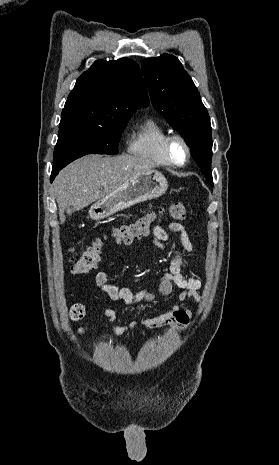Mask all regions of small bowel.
I'll use <instances>...</instances> for the list:
<instances>
[{"label": "small bowel", "mask_w": 279, "mask_h": 465, "mask_svg": "<svg viewBox=\"0 0 279 465\" xmlns=\"http://www.w3.org/2000/svg\"><path fill=\"white\" fill-rule=\"evenodd\" d=\"M169 230L179 234L186 256L190 259L195 258L198 253L185 227L181 223L172 222L169 224ZM167 240L168 232L164 228L156 226L152 234L153 244L160 249H165ZM183 261L182 253L178 250H174L169 272L164 274L156 291H151L146 288L133 291L127 287H117L108 284L107 274L104 271L97 273L95 282L99 290L105 293L110 300L123 301L126 305L130 306L142 302H152L156 297H167L172 293L174 287L179 288L181 292L177 304L158 316L143 320L141 325L148 330L169 326L176 331L182 332L188 327L192 319V314L185 307V302L189 299L199 302L201 299L200 289L202 286V281L199 278L193 276L188 277L184 274ZM104 315L110 322L115 319V311L112 309H105ZM137 325L138 323L133 321L126 326H114L113 330L117 335L124 336L130 330L136 328Z\"/></svg>", "instance_id": "obj_1"}]
</instances>
